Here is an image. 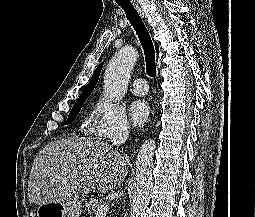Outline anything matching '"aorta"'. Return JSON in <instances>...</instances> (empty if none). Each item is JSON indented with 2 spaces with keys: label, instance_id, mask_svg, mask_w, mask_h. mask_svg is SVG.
<instances>
[{
  "label": "aorta",
  "instance_id": "1",
  "mask_svg": "<svg viewBox=\"0 0 255 217\" xmlns=\"http://www.w3.org/2000/svg\"><path fill=\"white\" fill-rule=\"evenodd\" d=\"M138 58V52L131 46H124L109 61L104 74L105 98L120 101L126 92L130 74ZM155 141L146 140L140 147L136 161V191L130 217H143L149 204L153 188V156Z\"/></svg>",
  "mask_w": 255,
  "mask_h": 217
}]
</instances>
